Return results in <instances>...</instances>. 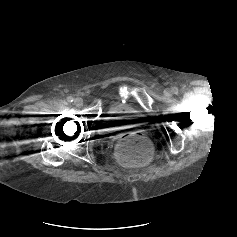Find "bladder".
Listing matches in <instances>:
<instances>
[{"instance_id": "bladder-1", "label": "bladder", "mask_w": 237, "mask_h": 237, "mask_svg": "<svg viewBox=\"0 0 237 237\" xmlns=\"http://www.w3.org/2000/svg\"><path fill=\"white\" fill-rule=\"evenodd\" d=\"M142 119V113L130 105L115 103L101 120L99 128L102 134H112L122 129L135 127L142 122Z\"/></svg>"}]
</instances>
